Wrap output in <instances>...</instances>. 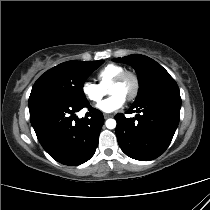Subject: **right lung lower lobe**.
I'll list each match as a JSON object with an SVG mask.
<instances>
[{
  "mask_svg": "<svg viewBox=\"0 0 210 210\" xmlns=\"http://www.w3.org/2000/svg\"><path fill=\"white\" fill-rule=\"evenodd\" d=\"M84 107L89 108L85 117H75ZM29 111L40 144L54 160L74 166L93 156L104 118L88 101L44 100L30 105Z\"/></svg>",
  "mask_w": 210,
  "mask_h": 210,
  "instance_id": "1",
  "label": "right lung lower lobe"
}]
</instances>
